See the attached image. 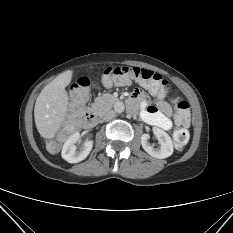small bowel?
Instances as JSON below:
<instances>
[{"mask_svg":"<svg viewBox=\"0 0 233 233\" xmlns=\"http://www.w3.org/2000/svg\"><path fill=\"white\" fill-rule=\"evenodd\" d=\"M135 98L141 102V117L145 122L163 130L173 128V122L170 119L171 108L167 103L159 101L156 105H151L140 93L136 94Z\"/></svg>","mask_w":233,"mask_h":233,"instance_id":"small-bowel-1","label":"small bowel"}]
</instances>
